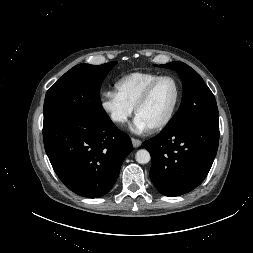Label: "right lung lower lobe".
<instances>
[{
  "instance_id": "obj_1",
  "label": "right lung lower lobe",
  "mask_w": 253,
  "mask_h": 253,
  "mask_svg": "<svg viewBox=\"0 0 253 253\" xmlns=\"http://www.w3.org/2000/svg\"><path fill=\"white\" fill-rule=\"evenodd\" d=\"M43 140L51 165L74 193L99 198L117 180L131 139L107 115L58 119L43 126Z\"/></svg>"
}]
</instances>
